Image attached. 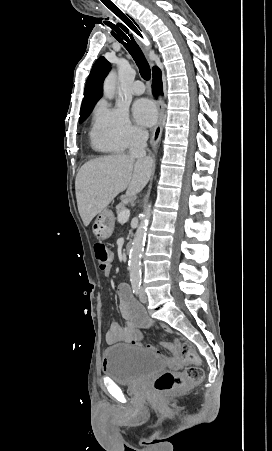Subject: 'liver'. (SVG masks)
Here are the masks:
<instances>
[{
    "mask_svg": "<svg viewBox=\"0 0 272 451\" xmlns=\"http://www.w3.org/2000/svg\"><path fill=\"white\" fill-rule=\"evenodd\" d=\"M151 174L152 158L117 154L86 162L75 180L78 212L84 226H89L120 192L127 190L126 198L139 194Z\"/></svg>",
    "mask_w": 272,
    "mask_h": 451,
    "instance_id": "1",
    "label": "liver"
}]
</instances>
